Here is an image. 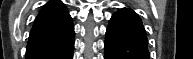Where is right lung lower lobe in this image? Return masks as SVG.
I'll list each match as a JSON object with an SVG mask.
<instances>
[{"label": "right lung lower lobe", "instance_id": "right-lung-lower-lobe-1", "mask_svg": "<svg viewBox=\"0 0 193 59\" xmlns=\"http://www.w3.org/2000/svg\"><path fill=\"white\" fill-rule=\"evenodd\" d=\"M74 32L64 38L46 45L27 47L26 59H72Z\"/></svg>", "mask_w": 193, "mask_h": 59}]
</instances>
